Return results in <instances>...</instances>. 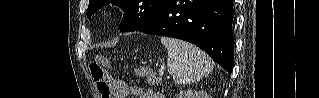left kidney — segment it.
Segmentation results:
<instances>
[{"instance_id": "5707ae66", "label": "left kidney", "mask_w": 319, "mask_h": 98, "mask_svg": "<svg viewBox=\"0 0 319 98\" xmlns=\"http://www.w3.org/2000/svg\"><path fill=\"white\" fill-rule=\"evenodd\" d=\"M177 98H209V96L204 90H185L180 92Z\"/></svg>"}]
</instances>
